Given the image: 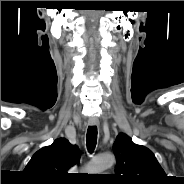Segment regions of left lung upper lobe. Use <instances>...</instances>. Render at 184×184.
Segmentation results:
<instances>
[{
	"mask_svg": "<svg viewBox=\"0 0 184 184\" xmlns=\"http://www.w3.org/2000/svg\"><path fill=\"white\" fill-rule=\"evenodd\" d=\"M117 159L113 179L119 184H166L168 177L154 154L120 133L113 145Z\"/></svg>",
	"mask_w": 184,
	"mask_h": 184,
	"instance_id": "5c2ea615",
	"label": "left lung upper lobe"
}]
</instances>
